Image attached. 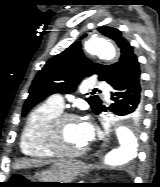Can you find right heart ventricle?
<instances>
[{
  "instance_id": "obj_1",
  "label": "right heart ventricle",
  "mask_w": 160,
  "mask_h": 187,
  "mask_svg": "<svg viewBox=\"0 0 160 187\" xmlns=\"http://www.w3.org/2000/svg\"><path fill=\"white\" fill-rule=\"evenodd\" d=\"M62 109L50 101L35 107L29 114L21 133L20 148L25 156L31 158H50L55 154L46 146L45 131L50 120Z\"/></svg>"
}]
</instances>
